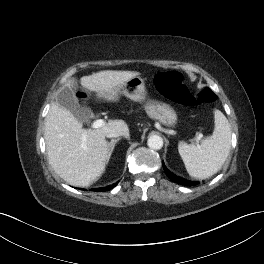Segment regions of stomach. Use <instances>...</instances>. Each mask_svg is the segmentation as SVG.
Returning a JSON list of instances; mask_svg holds the SVG:
<instances>
[{
  "label": "stomach",
  "mask_w": 264,
  "mask_h": 264,
  "mask_svg": "<svg viewBox=\"0 0 264 264\" xmlns=\"http://www.w3.org/2000/svg\"><path fill=\"white\" fill-rule=\"evenodd\" d=\"M121 94L135 102L144 103L145 112L150 118L168 127L176 125L177 114L170 105L147 99L145 83L141 77H133L125 83L113 88L104 98L107 100H117Z\"/></svg>",
  "instance_id": "stomach-1"
}]
</instances>
